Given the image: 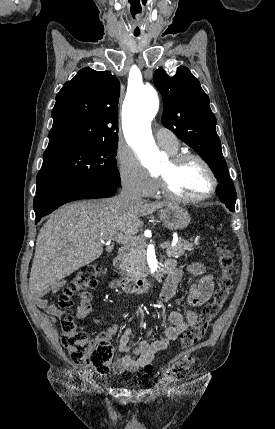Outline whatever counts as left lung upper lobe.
I'll return each instance as SVG.
<instances>
[{"label":"left lung upper lobe","instance_id":"5c2ea615","mask_svg":"<svg viewBox=\"0 0 275 429\" xmlns=\"http://www.w3.org/2000/svg\"><path fill=\"white\" fill-rule=\"evenodd\" d=\"M153 81L164 100L162 124L195 149L210 165L220 186L225 189V198L220 200L234 211L236 190L223 158L209 97L201 88L199 80L187 67L181 66L174 76H169L159 68L154 73Z\"/></svg>","mask_w":275,"mask_h":429}]
</instances>
